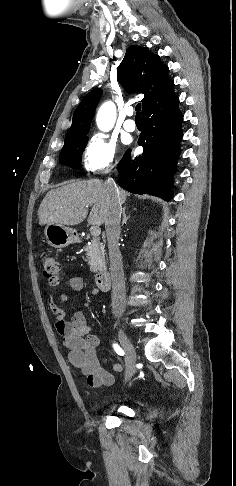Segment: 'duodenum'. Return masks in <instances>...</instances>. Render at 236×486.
I'll return each instance as SVG.
<instances>
[{
	"label": "duodenum",
	"mask_w": 236,
	"mask_h": 486,
	"mask_svg": "<svg viewBox=\"0 0 236 486\" xmlns=\"http://www.w3.org/2000/svg\"><path fill=\"white\" fill-rule=\"evenodd\" d=\"M95 282L97 287L101 291H106L109 288L110 285V274L107 269H102L100 270L95 277Z\"/></svg>",
	"instance_id": "410a0bca"
}]
</instances>
